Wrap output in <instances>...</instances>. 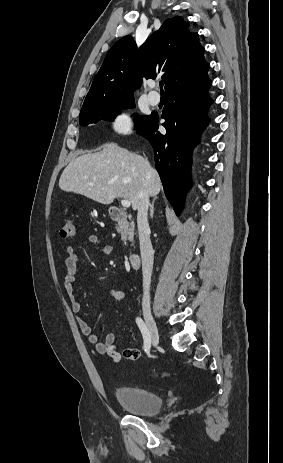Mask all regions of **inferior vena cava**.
Returning a JSON list of instances; mask_svg holds the SVG:
<instances>
[{
    "mask_svg": "<svg viewBox=\"0 0 283 463\" xmlns=\"http://www.w3.org/2000/svg\"><path fill=\"white\" fill-rule=\"evenodd\" d=\"M149 204L148 192H141L137 208V225L143 273L142 308L147 311H150V284L154 262V252L150 240V227L147 217Z\"/></svg>",
    "mask_w": 283,
    "mask_h": 463,
    "instance_id": "obj_1",
    "label": "inferior vena cava"
}]
</instances>
